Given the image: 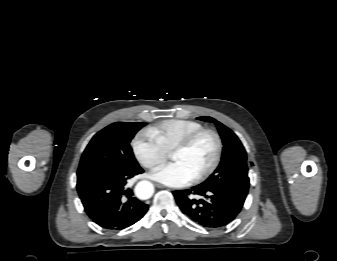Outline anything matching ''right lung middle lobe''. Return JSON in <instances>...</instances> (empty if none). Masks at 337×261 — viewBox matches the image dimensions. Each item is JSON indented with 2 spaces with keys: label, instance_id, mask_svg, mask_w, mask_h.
<instances>
[{
  "label": "right lung middle lobe",
  "instance_id": "dd1d6c3e",
  "mask_svg": "<svg viewBox=\"0 0 337 261\" xmlns=\"http://www.w3.org/2000/svg\"><path fill=\"white\" fill-rule=\"evenodd\" d=\"M145 125L116 122L95 134L81 157L77 189L139 168L130 143Z\"/></svg>",
  "mask_w": 337,
  "mask_h": 261
}]
</instances>
